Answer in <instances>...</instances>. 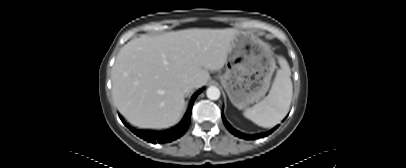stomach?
I'll return each mask as SVG.
<instances>
[{
    "label": "stomach",
    "instance_id": "0dacf381",
    "mask_svg": "<svg viewBox=\"0 0 406 168\" xmlns=\"http://www.w3.org/2000/svg\"><path fill=\"white\" fill-rule=\"evenodd\" d=\"M275 69L270 46L253 34L238 31L219 80L231 103L242 109L265 96Z\"/></svg>",
    "mask_w": 406,
    "mask_h": 168
}]
</instances>
